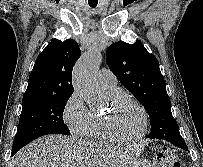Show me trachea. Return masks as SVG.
<instances>
[{
  "label": "trachea",
  "instance_id": "3493384b",
  "mask_svg": "<svg viewBox=\"0 0 203 167\" xmlns=\"http://www.w3.org/2000/svg\"><path fill=\"white\" fill-rule=\"evenodd\" d=\"M90 7L95 8L97 6V3H89Z\"/></svg>",
  "mask_w": 203,
  "mask_h": 167
}]
</instances>
